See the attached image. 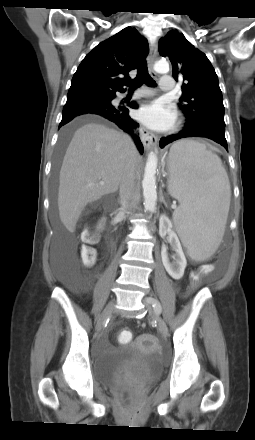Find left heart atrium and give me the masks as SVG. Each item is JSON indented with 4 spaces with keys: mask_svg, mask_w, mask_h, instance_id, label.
I'll use <instances>...</instances> for the list:
<instances>
[{
    "mask_svg": "<svg viewBox=\"0 0 255 440\" xmlns=\"http://www.w3.org/2000/svg\"><path fill=\"white\" fill-rule=\"evenodd\" d=\"M138 119L151 129L165 130L172 126L175 114L171 107L155 101L143 106L137 113Z\"/></svg>",
    "mask_w": 255,
    "mask_h": 440,
    "instance_id": "1",
    "label": "left heart atrium"
}]
</instances>
